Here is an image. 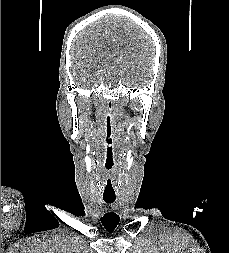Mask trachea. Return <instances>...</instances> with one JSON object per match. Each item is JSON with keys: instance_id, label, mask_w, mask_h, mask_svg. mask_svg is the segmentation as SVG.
<instances>
[{"instance_id": "3493384b", "label": "trachea", "mask_w": 229, "mask_h": 253, "mask_svg": "<svg viewBox=\"0 0 229 253\" xmlns=\"http://www.w3.org/2000/svg\"><path fill=\"white\" fill-rule=\"evenodd\" d=\"M103 199L108 204L113 203L115 201V197L103 198Z\"/></svg>"}]
</instances>
